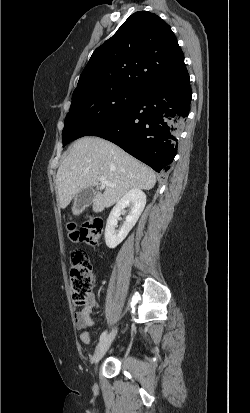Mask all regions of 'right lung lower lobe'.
Here are the masks:
<instances>
[{"label": "right lung lower lobe", "mask_w": 250, "mask_h": 413, "mask_svg": "<svg viewBox=\"0 0 250 413\" xmlns=\"http://www.w3.org/2000/svg\"><path fill=\"white\" fill-rule=\"evenodd\" d=\"M191 97L188 75L177 82L152 84L141 89L119 115L86 136L109 140L156 172L167 171L177 153Z\"/></svg>", "instance_id": "obj_1"}]
</instances>
